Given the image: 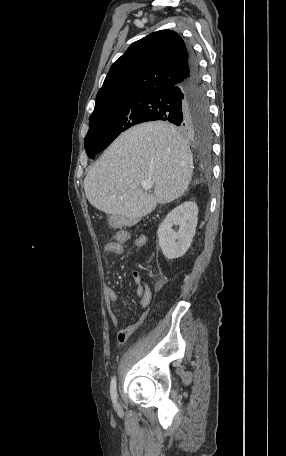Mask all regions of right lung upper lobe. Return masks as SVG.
I'll return each instance as SVG.
<instances>
[{
    "mask_svg": "<svg viewBox=\"0 0 286 456\" xmlns=\"http://www.w3.org/2000/svg\"><path fill=\"white\" fill-rule=\"evenodd\" d=\"M189 49L174 31L160 30L133 43L111 66L94 112L120 99L142 96L188 75Z\"/></svg>",
    "mask_w": 286,
    "mask_h": 456,
    "instance_id": "right-lung-upper-lobe-1",
    "label": "right lung upper lobe"
}]
</instances>
